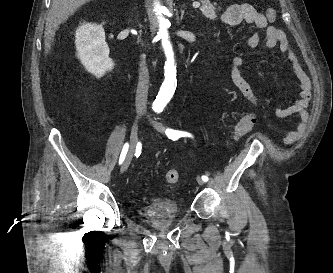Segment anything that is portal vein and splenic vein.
Listing matches in <instances>:
<instances>
[{
	"label": "portal vein and splenic vein",
	"instance_id": "obj_1",
	"mask_svg": "<svg viewBox=\"0 0 333 273\" xmlns=\"http://www.w3.org/2000/svg\"><path fill=\"white\" fill-rule=\"evenodd\" d=\"M193 7H195V8L200 7V3H199V2H195V3H193Z\"/></svg>",
	"mask_w": 333,
	"mask_h": 273
}]
</instances>
